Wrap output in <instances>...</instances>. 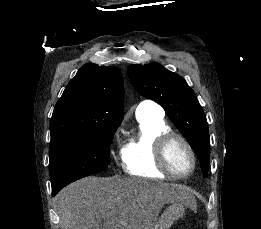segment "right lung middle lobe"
<instances>
[{
    "label": "right lung middle lobe",
    "mask_w": 261,
    "mask_h": 229,
    "mask_svg": "<svg viewBox=\"0 0 261 229\" xmlns=\"http://www.w3.org/2000/svg\"><path fill=\"white\" fill-rule=\"evenodd\" d=\"M118 126H96L49 146L53 196L69 183L107 168L110 164L109 147Z\"/></svg>",
    "instance_id": "right-lung-middle-lobe-1"
}]
</instances>
